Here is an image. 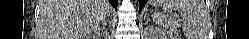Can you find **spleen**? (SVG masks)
<instances>
[{"label":"spleen","instance_id":"spleen-1","mask_svg":"<svg viewBox=\"0 0 249 39\" xmlns=\"http://www.w3.org/2000/svg\"><path fill=\"white\" fill-rule=\"evenodd\" d=\"M150 2L154 7L163 5L165 8L178 11L182 17L181 23L172 14L164 16L155 13L152 16L155 23L163 25L165 28L182 26L188 39H206L210 17L203 0H151Z\"/></svg>","mask_w":249,"mask_h":39}]
</instances>
